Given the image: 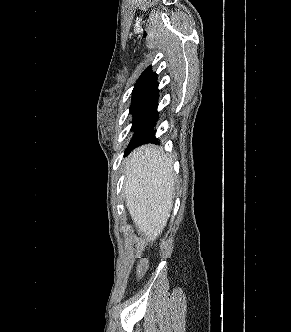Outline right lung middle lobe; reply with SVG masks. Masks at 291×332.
I'll return each instance as SVG.
<instances>
[{
	"mask_svg": "<svg viewBox=\"0 0 291 332\" xmlns=\"http://www.w3.org/2000/svg\"><path fill=\"white\" fill-rule=\"evenodd\" d=\"M146 97H139V98H133L131 102V107H130V113L135 114L137 113L139 107L142 105V103L146 100Z\"/></svg>",
	"mask_w": 291,
	"mask_h": 332,
	"instance_id": "obj_1",
	"label": "right lung middle lobe"
}]
</instances>
